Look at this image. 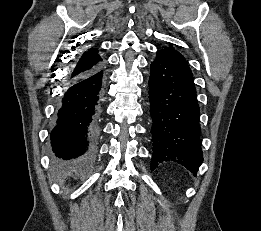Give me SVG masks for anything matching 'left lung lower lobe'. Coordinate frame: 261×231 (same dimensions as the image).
I'll return each instance as SVG.
<instances>
[{
  "instance_id": "left-lung-lower-lobe-1",
  "label": "left lung lower lobe",
  "mask_w": 261,
  "mask_h": 231,
  "mask_svg": "<svg viewBox=\"0 0 261 231\" xmlns=\"http://www.w3.org/2000/svg\"><path fill=\"white\" fill-rule=\"evenodd\" d=\"M150 68L151 170L163 161H174L196 176L203 162V153L200 111L193 78L159 54Z\"/></svg>"
}]
</instances>
